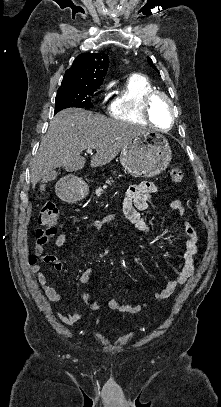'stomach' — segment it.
<instances>
[{
  "instance_id": "stomach-1",
  "label": "stomach",
  "mask_w": 221,
  "mask_h": 407,
  "mask_svg": "<svg viewBox=\"0 0 221 407\" xmlns=\"http://www.w3.org/2000/svg\"><path fill=\"white\" fill-rule=\"evenodd\" d=\"M172 151L168 140L160 133L146 131L133 138L121 151L124 171L136 177H153L169 165ZM88 194V186L80 178L72 177L63 186L61 196L66 202H77Z\"/></svg>"
}]
</instances>
